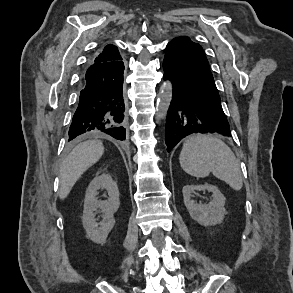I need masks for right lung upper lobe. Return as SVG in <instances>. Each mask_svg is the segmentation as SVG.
Segmentation results:
<instances>
[{
  "instance_id": "obj_1",
  "label": "right lung upper lobe",
  "mask_w": 293,
  "mask_h": 293,
  "mask_svg": "<svg viewBox=\"0 0 293 293\" xmlns=\"http://www.w3.org/2000/svg\"><path fill=\"white\" fill-rule=\"evenodd\" d=\"M122 57L119 54V51L114 45H107L102 51H99L92 59L91 64H100L107 62H117L121 61Z\"/></svg>"
}]
</instances>
